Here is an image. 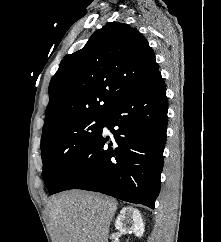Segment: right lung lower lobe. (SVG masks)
I'll list each match as a JSON object with an SVG mask.
<instances>
[{"label":"right lung lower lobe","mask_w":221,"mask_h":242,"mask_svg":"<svg viewBox=\"0 0 221 242\" xmlns=\"http://www.w3.org/2000/svg\"><path fill=\"white\" fill-rule=\"evenodd\" d=\"M168 101L161 73L103 114L100 133L50 194L85 189L154 208L160 192ZM107 127L111 134L103 132Z\"/></svg>","instance_id":"obj_1"}]
</instances>
